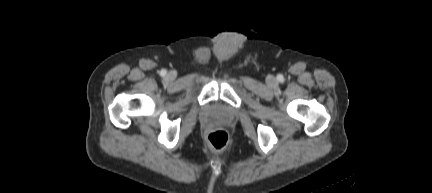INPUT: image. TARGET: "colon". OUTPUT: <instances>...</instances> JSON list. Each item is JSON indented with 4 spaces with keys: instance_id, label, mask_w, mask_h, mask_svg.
Here are the masks:
<instances>
[{
    "instance_id": "obj_1",
    "label": "colon",
    "mask_w": 432,
    "mask_h": 193,
    "mask_svg": "<svg viewBox=\"0 0 432 193\" xmlns=\"http://www.w3.org/2000/svg\"><path fill=\"white\" fill-rule=\"evenodd\" d=\"M207 140L210 147L215 151L224 150L229 143L228 134L223 130H216L211 132L208 135Z\"/></svg>"
}]
</instances>
